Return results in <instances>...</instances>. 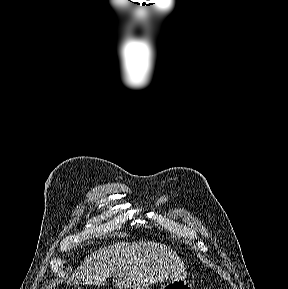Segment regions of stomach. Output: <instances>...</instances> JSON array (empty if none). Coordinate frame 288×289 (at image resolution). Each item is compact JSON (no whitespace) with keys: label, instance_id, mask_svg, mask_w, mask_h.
Wrapping results in <instances>:
<instances>
[{"label":"stomach","instance_id":"1","mask_svg":"<svg viewBox=\"0 0 288 289\" xmlns=\"http://www.w3.org/2000/svg\"><path fill=\"white\" fill-rule=\"evenodd\" d=\"M145 289H151L146 287ZM161 289H193L192 285L185 279L169 280L161 286Z\"/></svg>","mask_w":288,"mask_h":289}]
</instances>
